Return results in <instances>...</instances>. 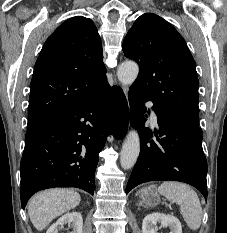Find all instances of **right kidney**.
<instances>
[{
  "label": "right kidney",
  "instance_id": "ca27d5eb",
  "mask_svg": "<svg viewBox=\"0 0 227 233\" xmlns=\"http://www.w3.org/2000/svg\"><path fill=\"white\" fill-rule=\"evenodd\" d=\"M65 224H72L73 231L70 233H82L83 219L79 212H70L63 215L57 220L56 223L52 224L46 233H58L59 229Z\"/></svg>",
  "mask_w": 227,
  "mask_h": 233
}]
</instances>
